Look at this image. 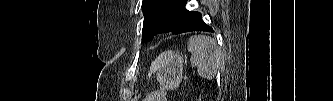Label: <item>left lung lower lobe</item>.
<instances>
[{"mask_svg": "<svg viewBox=\"0 0 333 101\" xmlns=\"http://www.w3.org/2000/svg\"><path fill=\"white\" fill-rule=\"evenodd\" d=\"M177 6L181 7L184 11V17L180 20L178 27L172 31L174 34L189 32V31H209L213 32V29L204 23L201 13L188 11L185 9L187 0H175Z\"/></svg>", "mask_w": 333, "mask_h": 101, "instance_id": "0a47b994", "label": "left lung lower lobe"}]
</instances>
